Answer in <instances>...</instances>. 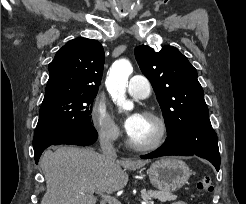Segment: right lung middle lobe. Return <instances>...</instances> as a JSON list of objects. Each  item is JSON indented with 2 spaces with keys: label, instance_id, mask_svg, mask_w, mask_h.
Instances as JSON below:
<instances>
[{
  "label": "right lung middle lobe",
  "instance_id": "1",
  "mask_svg": "<svg viewBox=\"0 0 246 204\" xmlns=\"http://www.w3.org/2000/svg\"><path fill=\"white\" fill-rule=\"evenodd\" d=\"M96 94H68L43 101L33 143L78 128H92L91 111Z\"/></svg>",
  "mask_w": 246,
  "mask_h": 204
}]
</instances>
